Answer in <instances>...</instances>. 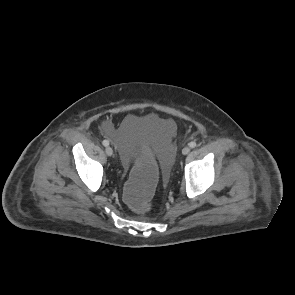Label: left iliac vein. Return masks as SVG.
<instances>
[{
    "instance_id": "4c4485c4",
    "label": "left iliac vein",
    "mask_w": 295,
    "mask_h": 295,
    "mask_svg": "<svg viewBox=\"0 0 295 295\" xmlns=\"http://www.w3.org/2000/svg\"><path fill=\"white\" fill-rule=\"evenodd\" d=\"M189 152H190V148H189L188 146H186V147H184V148L182 149V154H183V155H187Z\"/></svg>"
}]
</instances>
